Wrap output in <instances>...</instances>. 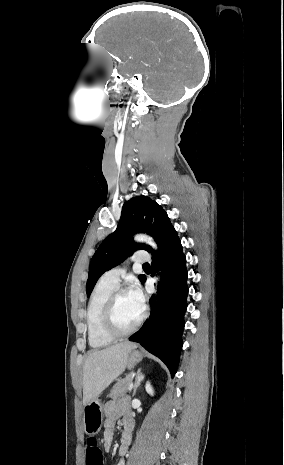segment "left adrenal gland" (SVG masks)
Here are the masks:
<instances>
[{
    "instance_id": "obj_1",
    "label": "left adrenal gland",
    "mask_w": 284,
    "mask_h": 465,
    "mask_svg": "<svg viewBox=\"0 0 284 465\" xmlns=\"http://www.w3.org/2000/svg\"><path fill=\"white\" fill-rule=\"evenodd\" d=\"M143 379H144V375H142L141 369H138V371L136 373L135 381H134V391H133L132 397H135V395L137 393V389H138V387H140L141 381H143Z\"/></svg>"
}]
</instances>
